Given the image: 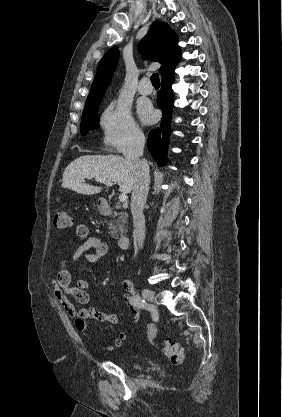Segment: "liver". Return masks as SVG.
I'll return each instance as SVG.
<instances>
[{
  "label": "liver",
  "instance_id": "liver-1",
  "mask_svg": "<svg viewBox=\"0 0 282 417\" xmlns=\"http://www.w3.org/2000/svg\"><path fill=\"white\" fill-rule=\"evenodd\" d=\"M84 178H106L119 184L120 192H131L134 184V168L118 154H85L72 160L63 172L61 186L71 188L80 194H96L101 186L83 182Z\"/></svg>",
  "mask_w": 282,
  "mask_h": 417
}]
</instances>
